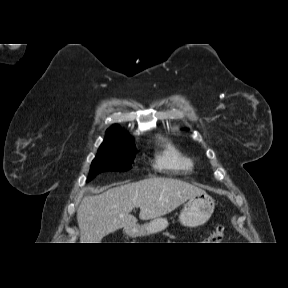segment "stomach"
Returning <instances> with one entry per match:
<instances>
[{
  "mask_svg": "<svg viewBox=\"0 0 288 288\" xmlns=\"http://www.w3.org/2000/svg\"><path fill=\"white\" fill-rule=\"evenodd\" d=\"M214 208V199L202 191L188 199L180 213L179 221L185 227H199L209 220ZM167 226V219L159 217L141 226L125 228L124 232L130 237H141L163 231Z\"/></svg>",
  "mask_w": 288,
  "mask_h": 288,
  "instance_id": "1",
  "label": "stomach"
}]
</instances>
